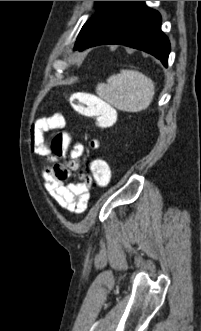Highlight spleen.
<instances>
[{
  "label": "spleen",
  "mask_w": 201,
  "mask_h": 331,
  "mask_svg": "<svg viewBox=\"0 0 201 331\" xmlns=\"http://www.w3.org/2000/svg\"><path fill=\"white\" fill-rule=\"evenodd\" d=\"M99 95L115 108L126 112H139L149 107L155 94L154 82L136 70H121L106 84L97 87Z\"/></svg>",
  "instance_id": "1"
}]
</instances>
